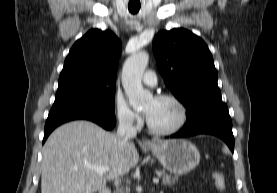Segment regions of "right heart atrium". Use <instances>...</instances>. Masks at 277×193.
Masks as SVG:
<instances>
[{"label":"right heart atrium","instance_id":"d8ad5b80","mask_svg":"<svg viewBox=\"0 0 277 193\" xmlns=\"http://www.w3.org/2000/svg\"><path fill=\"white\" fill-rule=\"evenodd\" d=\"M115 115L121 125L136 127L141 123V117L133 110L122 95L115 97Z\"/></svg>","mask_w":277,"mask_h":193}]
</instances>
